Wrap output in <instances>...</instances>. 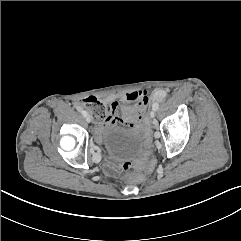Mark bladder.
I'll return each mask as SVG.
<instances>
[{"label":"bladder","mask_w":241,"mask_h":241,"mask_svg":"<svg viewBox=\"0 0 241 241\" xmlns=\"http://www.w3.org/2000/svg\"><path fill=\"white\" fill-rule=\"evenodd\" d=\"M107 148L115 159H128L138 156L144 148L145 140L138 131H130L119 126L106 130Z\"/></svg>","instance_id":"obj_1"}]
</instances>
